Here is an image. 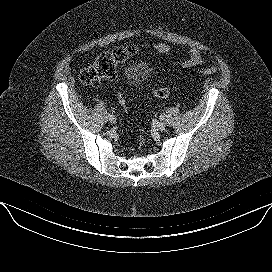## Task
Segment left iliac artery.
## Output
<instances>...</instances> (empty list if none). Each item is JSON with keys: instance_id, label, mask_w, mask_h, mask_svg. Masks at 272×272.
<instances>
[{"instance_id": "left-iliac-artery-1", "label": "left iliac artery", "mask_w": 272, "mask_h": 272, "mask_svg": "<svg viewBox=\"0 0 272 272\" xmlns=\"http://www.w3.org/2000/svg\"><path fill=\"white\" fill-rule=\"evenodd\" d=\"M159 117H160V120H164L165 119V116L162 115V114Z\"/></svg>"}]
</instances>
